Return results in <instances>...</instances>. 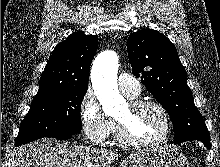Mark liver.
I'll return each mask as SVG.
<instances>
[{"label": "liver", "instance_id": "1", "mask_svg": "<svg viewBox=\"0 0 220 167\" xmlns=\"http://www.w3.org/2000/svg\"><path fill=\"white\" fill-rule=\"evenodd\" d=\"M15 167H110L118 150H108L48 138L18 147Z\"/></svg>", "mask_w": 220, "mask_h": 167}]
</instances>
